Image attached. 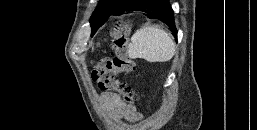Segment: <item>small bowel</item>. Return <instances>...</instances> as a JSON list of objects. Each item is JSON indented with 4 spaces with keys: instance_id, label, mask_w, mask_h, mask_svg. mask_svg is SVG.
Here are the masks:
<instances>
[{
    "instance_id": "1",
    "label": "small bowel",
    "mask_w": 257,
    "mask_h": 130,
    "mask_svg": "<svg viewBox=\"0 0 257 130\" xmlns=\"http://www.w3.org/2000/svg\"><path fill=\"white\" fill-rule=\"evenodd\" d=\"M103 98L106 101H111V97L108 96V95H104ZM115 108H116L117 112L121 116H123V117H125V118H127L129 120H134V119H136L138 117L133 106H129V105H116Z\"/></svg>"
}]
</instances>
